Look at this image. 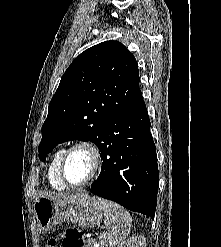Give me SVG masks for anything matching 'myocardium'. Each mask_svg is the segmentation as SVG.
<instances>
[{
    "mask_svg": "<svg viewBox=\"0 0 221 247\" xmlns=\"http://www.w3.org/2000/svg\"><path fill=\"white\" fill-rule=\"evenodd\" d=\"M78 149H82L90 153L92 158V170L89 176L84 181L80 183H71L66 177V172H65L66 163L69 156ZM103 161H104L103 154L97 144L89 140L76 141L66 149L62 157L60 169H59L60 178L66 186H69L71 188H79L85 186L90 182H92L100 174L103 167Z\"/></svg>",
    "mask_w": 221,
    "mask_h": 247,
    "instance_id": "obj_1",
    "label": "myocardium"
}]
</instances>
